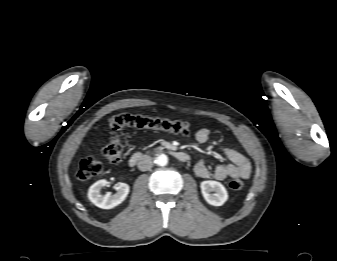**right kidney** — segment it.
<instances>
[{"label":"right kidney","mask_w":337,"mask_h":261,"mask_svg":"<svg viewBox=\"0 0 337 261\" xmlns=\"http://www.w3.org/2000/svg\"><path fill=\"white\" fill-rule=\"evenodd\" d=\"M108 183L109 182L105 179L99 180L95 182L88 190L89 200L94 205L102 209H111L119 205L126 199L130 191V188L127 184L118 183L116 185L117 192L115 194L112 195L110 192H108L107 194L102 195L100 191L104 186H107Z\"/></svg>","instance_id":"obj_1"}]
</instances>
